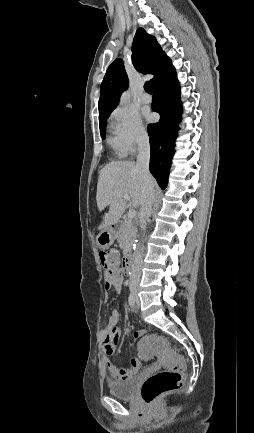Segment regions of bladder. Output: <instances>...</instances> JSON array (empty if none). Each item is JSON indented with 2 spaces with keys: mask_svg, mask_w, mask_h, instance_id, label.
Returning <instances> with one entry per match:
<instances>
[{
  "mask_svg": "<svg viewBox=\"0 0 254 433\" xmlns=\"http://www.w3.org/2000/svg\"><path fill=\"white\" fill-rule=\"evenodd\" d=\"M138 379L132 378L126 381L108 383L110 394L119 399H133L136 394Z\"/></svg>",
  "mask_w": 254,
  "mask_h": 433,
  "instance_id": "31cf9c89",
  "label": "bladder"
}]
</instances>
